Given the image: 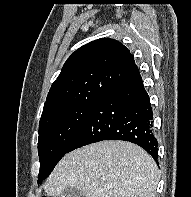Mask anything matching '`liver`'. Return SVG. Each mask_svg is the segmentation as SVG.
Listing matches in <instances>:
<instances>
[{"mask_svg": "<svg viewBox=\"0 0 191 197\" xmlns=\"http://www.w3.org/2000/svg\"><path fill=\"white\" fill-rule=\"evenodd\" d=\"M158 167L136 144L102 141L66 154L44 184L49 196L66 188L85 197H156Z\"/></svg>", "mask_w": 191, "mask_h": 197, "instance_id": "6515ba94", "label": "liver"}]
</instances>
